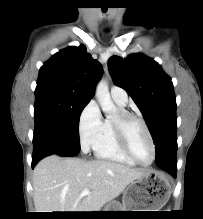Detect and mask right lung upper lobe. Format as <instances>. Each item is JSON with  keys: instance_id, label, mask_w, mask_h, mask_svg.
<instances>
[{"instance_id": "cb5924a9", "label": "right lung upper lobe", "mask_w": 203, "mask_h": 219, "mask_svg": "<svg viewBox=\"0 0 203 219\" xmlns=\"http://www.w3.org/2000/svg\"><path fill=\"white\" fill-rule=\"evenodd\" d=\"M101 74L100 63L84 46L68 47L43 64L36 89H57L90 100Z\"/></svg>"}]
</instances>
